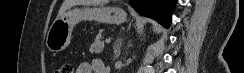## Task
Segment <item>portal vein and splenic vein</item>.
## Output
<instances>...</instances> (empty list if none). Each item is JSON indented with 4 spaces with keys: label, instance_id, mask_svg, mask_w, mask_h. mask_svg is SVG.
<instances>
[{
    "label": "portal vein and splenic vein",
    "instance_id": "18ae733b",
    "mask_svg": "<svg viewBox=\"0 0 244 73\" xmlns=\"http://www.w3.org/2000/svg\"><path fill=\"white\" fill-rule=\"evenodd\" d=\"M105 42H106L107 44H109V43L111 42V40H110V39H106Z\"/></svg>",
    "mask_w": 244,
    "mask_h": 73
}]
</instances>
